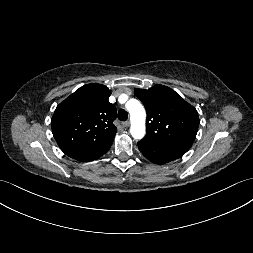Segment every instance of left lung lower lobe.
I'll return each instance as SVG.
<instances>
[{"label":"left lung lower lobe","mask_w":253,"mask_h":253,"mask_svg":"<svg viewBox=\"0 0 253 253\" xmlns=\"http://www.w3.org/2000/svg\"><path fill=\"white\" fill-rule=\"evenodd\" d=\"M138 148H139L140 152L149 161H151L155 164H164V163L170 162V161L175 160V159L181 157L182 155H184L181 152L147 145L142 142H138Z\"/></svg>","instance_id":"left-lung-lower-lobe-1"}]
</instances>
